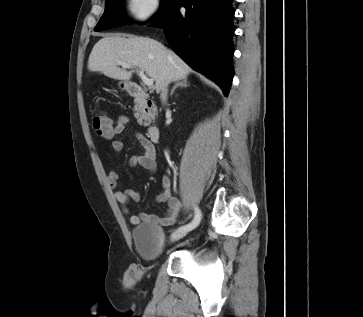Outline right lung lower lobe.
<instances>
[{"label":"right lung lower lobe","mask_w":363,"mask_h":317,"mask_svg":"<svg viewBox=\"0 0 363 317\" xmlns=\"http://www.w3.org/2000/svg\"><path fill=\"white\" fill-rule=\"evenodd\" d=\"M232 0H173L153 22L162 27L170 46L196 71L228 95L232 78ZM183 6L185 13L179 8Z\"/></svg>","instance_id":"98d812e1"}]
</instances>
